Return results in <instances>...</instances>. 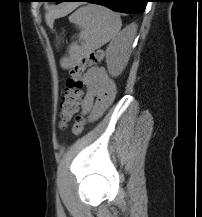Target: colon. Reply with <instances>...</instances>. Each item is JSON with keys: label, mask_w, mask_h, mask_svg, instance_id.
<instances>
[{"label": "colon", "mask_w": 202, "mask_h": 217, "mask_svg": "<svg viewBox=\"0 0 202 217\" xmlns=\"http://www.w3.org/2000/svg\"><path fill=\"white\" fill-rule=\"evenodd\" d=\"M103 57V51L96 50L70 68L66 91L59 111V127L64 128L78 111L80 88L82 87L81 77L84 70L88 66L101 62ZM85 123V116L83 114L78 115L73 124L72 133L76 136L80 135L84 129Z\"/></svg>", "instance_id": "obj_1"}]
</instances>
